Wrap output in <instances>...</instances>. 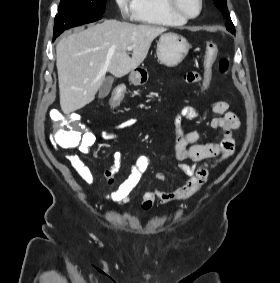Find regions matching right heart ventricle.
<instances>
[{
	"label": "right heart ventricle",
	"mask_w": 280,
	"mask_h": 283,
	"mask_svg": "<svg viewBox=\"0 0 280 283\" xmlns=\"http://www.w3.org/2000/svg\"><path fill=\"white\" fill-rule=\"evenodd\" d=\"M132 17L150 25L181 26L186 23L169 9L167 0H135Z\"/></svg>",
	"instance_id": "right-heart-ventricle-1"
}]
</instances>
